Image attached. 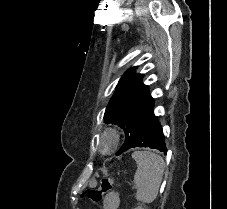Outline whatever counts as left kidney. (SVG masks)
<instances>
[{"instance_id":"1","label":"left kidney","mask_w":227,"mask_h":209,"mask_svg":"<svg viewBox=\"0 0 227 209\" xmlns=\"http://www.w3.org/2000/svg\"><path fill=\"white\" fill-rule=\"evenodd\" d=\"M139 207H136V209H143V205H140V203H138ZM145 209H147V207H145Z\"/></svg>"}]
</instances>
